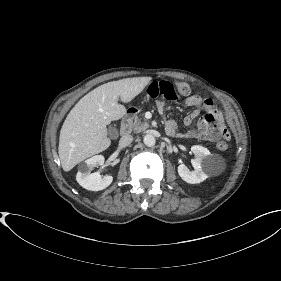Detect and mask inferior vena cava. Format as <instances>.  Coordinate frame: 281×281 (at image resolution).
Here are the masks:
<instances>
[{
    "instance_id": "1",
    "label": "inferior vena cava",
    "mask_w": 281,
    "mask_h": 281,
    "mask_svg": "<svg viewBox=\"0 0 281 281\" xmlns=\"http://www.w3.org/2000/svg\"><path fill=\"white\" fill-rule=\"evenodd\" d=\"M133 141V136L132 135H129V134H126V135H123L120 140H119V145L121 147H126L128 146L131 142Z\"/></svg>"
}]
</instances>
